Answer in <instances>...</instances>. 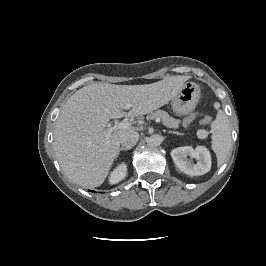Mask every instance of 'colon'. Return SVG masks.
<instances>
[{"label": "colon", "instance_id": "colon-1", "mask_svg": "<svg viewBox=\"0 0 266 266\" xmlns=\"http://www.w3.org/2000/svg\"><path fill=\"white\" fill-rule=\"evenodd\" d=\"M196 117H197V115H196L195 113L190 114L189 116H187V117L185 118V120H184V124H185L186 126H190V125L193 123V121L196 119ZM209 122H210V117H208V116H205V117H203V118L201 119V123H202L203 125H207V124H209Z\"/></svg>", "mask_w": 266, "mask_h": 266}]
</instances>
